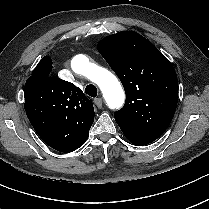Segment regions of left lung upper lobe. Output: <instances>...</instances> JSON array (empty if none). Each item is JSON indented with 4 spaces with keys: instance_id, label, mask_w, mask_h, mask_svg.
I'll use <instances>...</instances> for the list:
<instances>
[{
    "instance_id": "obj_1",
    "label": "left lung upper lobe",
    "mask_w": 209,
    "mask_h": 209,
    "mask_svg": "<svg viewBox=\"0 0 209 209\" xmlns=\"http://www.w3.org/2000/svg\"><path fill=\"white\" fill-rule=\"evenodd\" d=\"M97 48L125 89V105L114 113L117 124L133 144L153 142L168 128L176 111L174 67L150 41L133 31L110 35Z\"/></svg>"
}]
</instances>
